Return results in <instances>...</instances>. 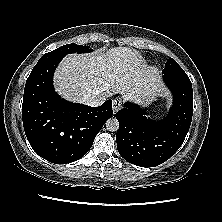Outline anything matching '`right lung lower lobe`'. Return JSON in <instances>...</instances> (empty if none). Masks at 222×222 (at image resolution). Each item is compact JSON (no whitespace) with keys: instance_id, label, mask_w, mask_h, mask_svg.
I'll return each instance as SVG.
<instances>
[{"instance_id":"right-lung-lower-lobe-1","label":"right lung lower lobe","mask_w":222,"mask_h":222,"mask_svg":"<svg viewBox=\"0 0 222 222\" xmlns=\"http://www.w3.org/2000/svg\"><path fill=\"white\" fill-rule=\"evenodd\" d=\"M62 59L38 61L26 81L22 104L23 126L31 147L56 164L84 156L113 115L112 100L90 107L66 101L54 91L53 74Z\"/></svg>"}]
</instances>
